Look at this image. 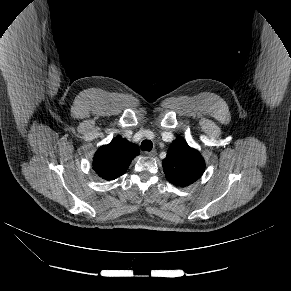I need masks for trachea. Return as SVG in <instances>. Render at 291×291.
Segmentation results:
<instances>
[{"label": "trachea", "mask_w": 291, "mask_h": 291, "mask_svg": "<svg viewBox=\"0 0 291 291\" xmlns=\"http://www.w3.org/2000/svg\"><path fill=\"white\" fill-rule=\"evenodd\" d=\"M153 148V143L150 140H143L141 143V149L143 151H151Z\"/></svg>", "instance_id": "1"}]
</instances>
